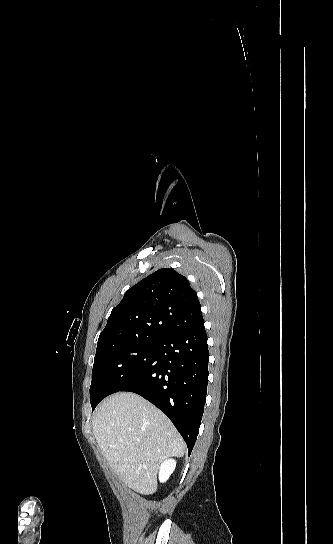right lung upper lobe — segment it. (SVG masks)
I'll return each mask as SVG.
<instances>
[{
    "label": "right lung upper lobe",
    "mask_w": 333,
    "mask_h": 544,
    "mask_svg": "<svg viewBox=\"0 0 333 544\" xmlns=\"http://www.w3.org/2000/svg\"><path fill=\"white\" fill-rule=\"evenodd\" d=\"M202 317L196 292L186 277L162 268L130 288L100 333L96 354L124 344L158 341Z\"/></svg>",
    "instance_id": "right-lung-upper-lobe-1"
}]
</instances>
